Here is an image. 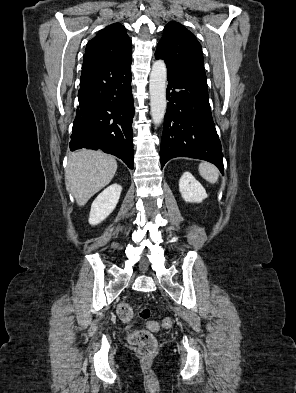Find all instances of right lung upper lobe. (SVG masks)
<instances>
[{
	"mask_svg": "<svg viewBox=\"0 0 296 393\" xmlns=\"http://www.w3.org/2000/svg\"><path fill=\"white\" fill-rule=\"evenodd\" d=\"M131 40L123 25L111 24L100 30L86 47L83 62L122 61L131 58Z\"/></svg>",
	"mask_w": 296,
	"mask_h": 393,
	"instance_id": "cb5924a9",
	"label": "right lung upper lobe"
}]
</instances>
